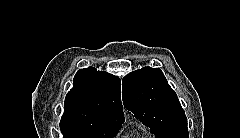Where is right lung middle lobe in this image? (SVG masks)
<instances>
[{"label":"right lung middle lobe","mask_w":240,"mask_h":138,"mask_svg":"<svg viewBox=\"0 0 240 138\" xmlns=\"http://www.w3.org/2000/svg\"><path fill=\"white\" fill-rule=\"evenodd\" d=\"M122 125L110 126L77 120H61L63 138H111Z\"/></svg>","instance_id":"dd1d6c3e"}]
</instances>
